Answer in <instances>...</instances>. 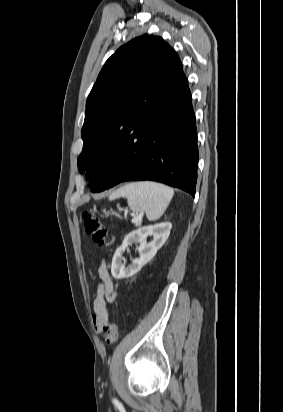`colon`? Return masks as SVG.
<instances>
[{"mask_svg":"<svg viewBox=\"0 0 283 412\" xmlns=\"http://www.w3.org/2000/svg\"><path fill=\"white\" fill-rule=\"evenodd\" d=\"M82 220L85 232L98 246L104 247L107 244L108 232L101 224L95 211H85L82 213ZM102 334L107 343H113L118 339L117 325L109 321L103 325Z\"/></svg>","mask_w":283,"mask_h":412,"instance_id":"5ec220e1","label":"colon"}]
</instances>
